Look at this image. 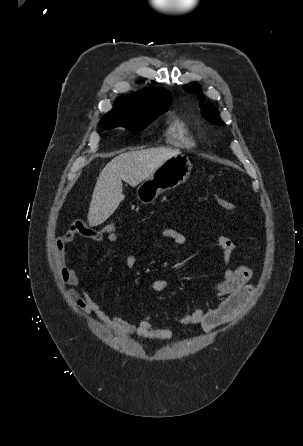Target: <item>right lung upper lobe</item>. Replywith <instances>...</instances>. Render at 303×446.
Masks as SVG:
<instances>
[{
    "mask_svg": "<svg viewBox=\"0 0 303 446\" xmlns=\"http://www.w3.org/2000/svg\"><path fill=\"white\" fill-rule=\"evenodd\" d=\"M170 103L171 93L169 91H155L152 88H146L133 95L119 97L110 112L143 114L160 106H168Z\"/></svg>",
    "mask_w": 303,
    "mask_h": 446,
    "instance_id": "obj_1",
    "label": "right lung upper lobe"
}]
</instances>
